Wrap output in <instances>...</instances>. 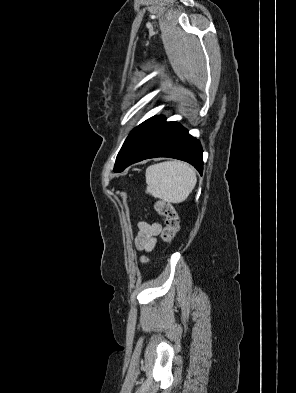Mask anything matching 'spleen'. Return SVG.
<instances>
[{
	"label": "spleen",
	"mask_w": 296,
	"mask_h": 393,
	"mask_svg": "<svg viewBox=\"0 0 296 393\" xmlns=\"http://www.w3.org/2000/svg\"><path fill=\"white\" fill-rule=\"evenodd\" d=\"M146 193L170 203H181L194 189L196 171L180 161H165L146 169Z\"/></svg>",
	"instance_id": "3e777b00"
}]
</instances>
